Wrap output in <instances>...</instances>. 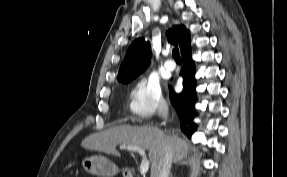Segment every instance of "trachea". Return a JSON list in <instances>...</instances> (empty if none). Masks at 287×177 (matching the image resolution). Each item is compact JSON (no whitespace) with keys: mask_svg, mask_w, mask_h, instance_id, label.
Wrapping results in <instances>:
<instances>
[{"mask_svg":"<svg viewBox=\"0 0 287 177\" xmlns=\"http://www.w3.org/2000/svg\"><path fill=\"white\" fill-rule=\"evenodd\" d=\"M172 56H173V58H174L175 61H182L178 48H174V49H173V51H172Z\"/></svg>","mask_w":287,"mask_h":177,"instance_id":"trachea-1","label":"trachea"}]
</instances>
